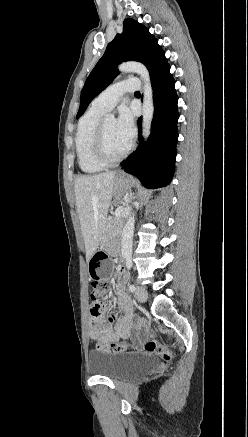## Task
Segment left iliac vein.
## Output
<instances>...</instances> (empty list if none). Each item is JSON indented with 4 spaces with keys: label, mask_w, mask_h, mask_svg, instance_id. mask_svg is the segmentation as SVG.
<instances>
[{
    "label": "left iliac vein",
    "mask_w": 248,
    "mask_h": 437,
    "mask_svg": "<svg viewBox=\"0 0 248 437\" xmlns=\"http://www.w3.org/2000/svg\"><path fill=\"white\" fill-rule=\"evenodd\" d=\"M134 296L139 302H145L147 300L148 293L144 287L137 286V288L134 292Z\"/></svg>",
    "instance_id": "4c4485c4"
}]
</instances>
